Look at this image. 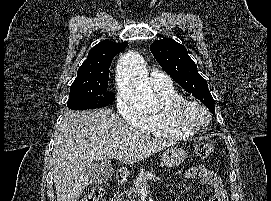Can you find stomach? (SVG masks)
Returning a JSON list of instances; mask_svg holds the SVG:
<instances>
[{"mask_svg":"<svg viewBox=\"0 0 271 201\" xmlns=\"http://www.w3.org/2000/svg\"><path fill=\"white\" fill-rule=\"evenodd\" d=\"M186 157V152L179 146L167 148L162 154V165L167 168H172L180 165Z\"/></svg>","mask_w":271,"mask_h":201,"instance_id":"0dacf381","label":"stomach"}]
</instances>
